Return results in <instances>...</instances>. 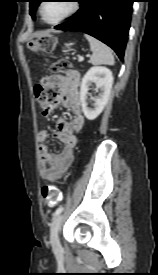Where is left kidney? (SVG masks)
I'll return each mask as SVG.
<instances>
[{
  "mask_svg": "<svg viewBox=\"0 0 158 275\" xmlns=\"http://www.w3.org/2000/svg\"><path fill=\"white\" fill-rule=\"evenodd\" d=\"M92 83H95L96 87L100 90V93L94 98V107L89 108L87 106V94L89 86ZM112 84L113 75L111 70L107 67L94 66L86 72L81 82L80 100L83 113L88 120H94L101 114L108 102Z\"/></svg>",
  "mask_w": 158,
  "mask_h": 275,
  "instance_id": "5707ae66",
  "label": "left kidney"
}]
</instances>
